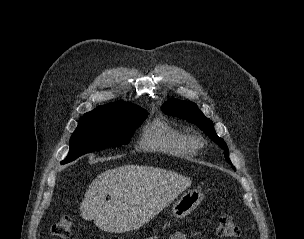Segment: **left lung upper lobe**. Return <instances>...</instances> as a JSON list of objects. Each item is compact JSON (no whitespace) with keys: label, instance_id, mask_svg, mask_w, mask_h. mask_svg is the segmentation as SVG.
Segmentation results:
<instances>
[{"label":"left lung upper lobe","instance_id":"5c2ea615","mask_svg":"<svg viewBox=\"0 0 304 239\" xmlns=\"http://www.w3.org/2000/svg\"><path fill=\"white\" fill-rule=\"evenodd\" d=\"M161 109L168 115L179 117L181 119L187 120L188 122L196 124L201 130L205 132L206 135L210 137L211 140L216 142L225 150V158L228 163H231L229 159L228 147L225 141L217 136L212 121L204 116L196 104L189 101L171 99L167 101Z\"/></svg>","mask_w":304,"mask_h":239}]
</instances>
